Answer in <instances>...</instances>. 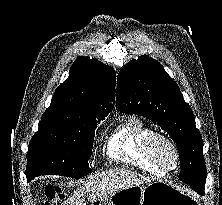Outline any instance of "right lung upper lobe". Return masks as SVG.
Instances as JSON below:
<instances>
[{
    "label": "right lung upper lobe",
    "instance_id": "1",
    "mask_svg": "<svg viewBox=\"0 0 222 205\" xmlns=\"http://www.w3.org/2000/svg\"><path fill=\"white\" fill-rule=\"evenodd\" d=\"M115 81L113 68L97 59L78 57L41 120L104 119L113 109Z\"/></svg>",
    "mask_w": 222,
    "mask_h": 205
}]
</instances>
